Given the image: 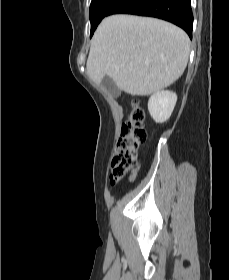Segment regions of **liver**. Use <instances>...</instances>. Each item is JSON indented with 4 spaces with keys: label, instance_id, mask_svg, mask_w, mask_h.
Returning a JSON list of instances; mask_svg holds the SVG:
<instances>
[{
    "label": "liver",
    "instance_id": "6515ba94",
    "mask_svg": "<svg viewBox=\"0 0 229 280\" xmlns=\"http://www.w3.org/2000/svg\"><path fill=\"white\" fill-rule=\"evenodd\" d=\"M189 52L188 35L171 23L113 15L104 18L95 31L86 70L96 85L109 76L120 90L148 96L183 74Z\"/></svg>",
    "mask_w": 229,
    "mask_h": 280
}]
</instances>
